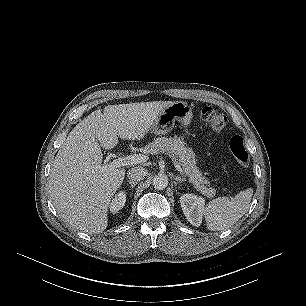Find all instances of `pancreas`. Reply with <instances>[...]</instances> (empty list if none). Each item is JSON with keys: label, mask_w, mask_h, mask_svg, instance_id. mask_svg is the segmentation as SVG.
Wrapping results in <instances>:
<instances>
[{"label": "pancreas", "mask_w": 306, "mask_h": 306, "mask_svg": "<svg viewBox=\"0 0 306 306\" xmlns=\"http://www.w3.org/2000/svg\"><path fill=\"white\" fill-rule=\"evenodd\" d=\"M144 151L154 155L165 153L169 156L176 157L182 170L188 176L197 191L208 198H213L216 189L210 187V181L202 175V172L196 166L195 154L192 149L185 146L184 142L177 138L160 137L144 147Z\"/></svg>", "instance_id": "cf45deb5"}]
</instances>
